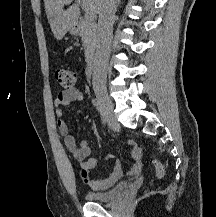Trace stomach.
<instances>
[{
    "label": "stomach",
    "mask_w": 216,
    "mask_h": 217,
    "mask_svg": "<svg viewBox=\"0 0 216 217\" xmlns=\"http://www.w3.org/2000/svg\"><path fill=\"white\" fill-rule=\"evenodd\" d=\"M77 32V29L75 26H73L72 28H70V33L71 34H75Z\"/></svg>",
    "instance_id": "stomach-1"
}]
</instances>
